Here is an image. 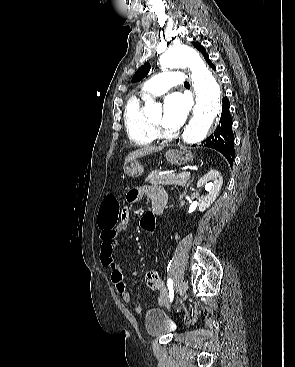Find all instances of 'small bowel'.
Returning <instances> with one entry per match:
<instances>
[{
    "mask_svg": "<svg viewBox=\"0 0 295 367\" xmlns=\"http://www.w3.org/2000/svg\"><path fill=\"white\" fill-rule=\"evenodd\" d=\"M143 196H147L152 203L157 200L163 201L165 204L167 202V194L165 190L160 186L151 185L131 189L127 194V201L130 203H136L141 200ZM130 218V209L122 208L119 224L112 227H104L99 224V228L101 230V263L104 267L110 270L111 282L125 303H130L132 297L127 291L122 267L114 258V250L117 243V236L119 233L126 230ZM131 275L136 276L137 272L132 271ZM145 280L146 284L151 289L159 292L158 302L163 304L166 299V291L162 283L160 273L158 271H150L146 274ZM133 310L136 313H140L142 311V307L140 305H136Z\"/></svg>",
    "mask_w": 295,
    "mask_h": 367,
    "instance_id": "small-bowel-1",
    "label": "small bowel"
}]
</instances>
